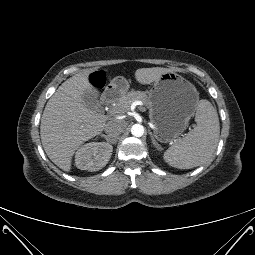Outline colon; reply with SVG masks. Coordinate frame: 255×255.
Listing matches in <instances>:
<instances>
[{"instance_id": "1", "label": "colon", "mask_w": 255, "mask_h": 255, "mask_svg": "<svg viewBox=\"0 0 255 255\" xmlns=\"http://www.w3.org/2000/svg\"><path fill=\"white\" fill-rule=\"evenodd\" d=\"M91 81L94 82V83H99L100 80H99L98 75H97V74H93V75L91 76Z\"/></svg>"}]
</instances>
